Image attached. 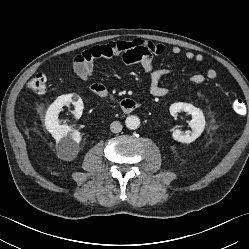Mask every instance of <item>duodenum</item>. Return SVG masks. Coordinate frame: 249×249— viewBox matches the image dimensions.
Instances as JSON below:
<instances>
[{"label": "duodenum", "instance_id": "1", "mask_svg": "<svg viewBox=\"0 0 249 249\" xmlns=\"http://www.w3.org/2000/svg\"><path fill=\"white\" fill-rule=\"evenodd\" d=\"M91 91L98 97L106 99L116 105L119 106L122 112L129 114L132 113L139 108H141V103L133 100V99H122L120 101L116 100L108 91L107 89L103 88H96L91 86Z\"/></svg>", "mask_w": 249, "mask_h": 249}]
</instances>
